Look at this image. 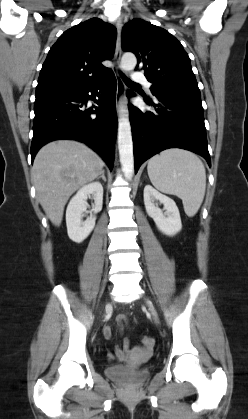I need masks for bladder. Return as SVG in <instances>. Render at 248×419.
Wrapping results in <instances>:
<instances>
[{
    "label": "bladder",
    "instance_id": "31cf9c89",
    "mask_svg": "<svg viewBox=\"0 0 248 419\" xmlns=\"http://www.w3.org/2000/svg\"><path fill=\"white\" fill-rule=\"evenodd\" d=\"M105 373L110 379L128 387H138L150 377L148 369L135 368L132 365L108 366Z\"/></svg>",
    "mask_w": 248,
    "mask_h": 419
}]
</instances>
